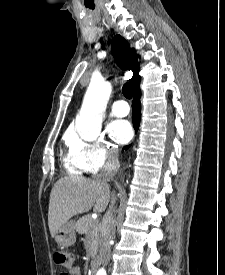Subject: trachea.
<instances>
[{"label":"trachea","mask_w":225,"mask_h":275,"mask_svg":"<svg viewBox=\"0 0 225 275\" xmlns=\"http://www.w3.org/2000/svg\"><path fill=\"white\" fill-rule=\"evenodd\" d=\"M122 93L127 99L132 98V88L130 83H125L122 87Z\"/></svg>","instance_id":"obj_1"}]
</instances>
